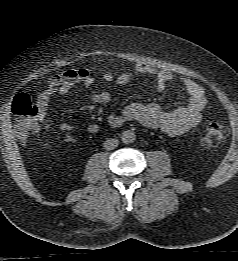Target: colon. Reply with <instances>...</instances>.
Wrapping results in <instances>:
<instances>
[{
  "label": "colon",
  "mask_w": 238,
  "mask_h": 261,
  "mask_svg": "<svg viewBox=\"0 0 238 261\" xmlns=\"http://www.w3.org/2000/svg\"><path fill=\"white\" fill-rule=\"evenodd\" d=\"M65 75H72L73 70H68ZM12 111L15 117L14 129L22 142H25L29 135L39 129L38 108L25 94L18 95L12 104ZM225 126L217 121L210 122L202 136V145L204 147H215L225 138Z\"/></svg>",
  "instance_id": "colon-1"
}]
</instances>
